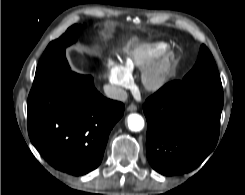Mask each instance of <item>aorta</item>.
Wrapping results in <instances>:
<instances>
[{
    "label": "aorta",
    "mask_w": 245,
    "mask_h": 195,
    "mask_svg": "<svg viewBox=\"0 0 245 195\" xmlns=\"http://www.w3.org/2000/svg\"><path fill=\"white\" fill-rule=\"evenodd\" d=\"M128 127L133 132H139L144 128V119L141 115L133 113L127 118Z\"/></svg>",
    "instance_id": "aorta-1"
}]
</instances>
